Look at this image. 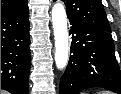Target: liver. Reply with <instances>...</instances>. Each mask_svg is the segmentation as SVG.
I'll return each instance as SVG.
<instances>
[{
    "mask_svg": "<svg viewBox=\"0 0 121 94\" xmlns=\"http://www.w3.org/2000/svg\"><path fill=\"white\" fill-rule=\"evenodd\" d=\"M1 94H8L6 91L1 90Z\"/></svg>",
    "mask_w": 121,
    "mask_h": 94,
    "instance_id": "6515ba94",
    "label": "liver"
}]
</instances>
